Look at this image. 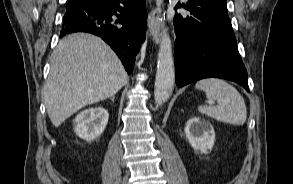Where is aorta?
Listing matches in <instances>:
<instances>
[{
    "mask_svg": "<svg viewBox=\"0 0 293 184\" xmlns=\"http://www.w3.org/2000/svg\"><path fill=\"white\" fill-rule=\"evenodd\" d=\"M163 2V0H158ZM175 82V68L172 44L167 29H163L157 58L154 98L158 106L163 105L171 96Z\"/></svg>",
    "mask_w": 293,
    "mask_h": 184,
    "instance_id": "1",
    "label": "aorta"
}]
</instances>
